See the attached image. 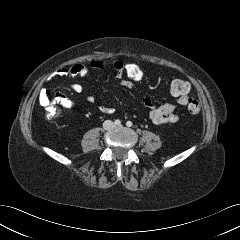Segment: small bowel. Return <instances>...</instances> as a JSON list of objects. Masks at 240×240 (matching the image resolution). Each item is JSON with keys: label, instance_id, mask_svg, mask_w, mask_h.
<instances>
[{"label": "small bowel", "instance_id": "1", "mask_svg": "<svg viewBox=\"0 0 240 240\" xmlns=\"http://www.w3.org/2000/svg\"><path fill=\"white\" fill-rule=\"evenodd\" d=\"M89 66L90 68L83 63H76L69 67L60 68L58 73L63 76L88 78L90 69L102 70L105 65L101 59H93L90 61ZM123 66L124 63L120 60L114 61L112 65L114 73L119 79L121 85L127 89H132L134 85L124 77ZM70 89L75 93H82L84 90V84L79 82L72 83ZM189 98L188 95H183L176 97V100L173 102H167L159 106H156L148 97H145L142 102L143 105L149 109L150 120L156 125H163L167 123H175L179 120L180 116L177 113V110L180 106L187 105ZM86 101L93 103L95 97L93 95H87ZM39 102L43 107H49L52 104H59L66 109H72L75 106L74 101L68 98L65 94L57 93L51 98L45 89H42L39 93ZM99 110L106 114H112L115 111L113 107L103 105L99 107Z\"/></svg>", "mask_w": 240, "mask_h": 240}]
</instances>
